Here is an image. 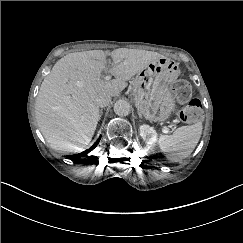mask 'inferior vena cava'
I'll return each mask as SVG.
<instances>
[{"label":"inferior vena cava","mask_w":243,"mask_h":243,"mask_svg":"<svg viewBox=\"0 0 243 243\" xmlns=\"http://www.w3.org/2000/svg\"><path fill=\"white\" fill-rule=\"evenodd\" d=\"M111 102V97L107 92L98 93L95 98V103L99 107H105Z\"/></svg>","instance_id":"602c4592"}]
</instances>
